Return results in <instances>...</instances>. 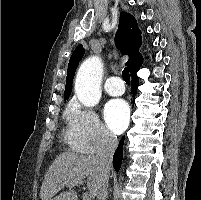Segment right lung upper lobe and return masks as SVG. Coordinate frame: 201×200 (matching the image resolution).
Returning <instances> with one entry per match:
<instances>
[{"instance_id":"cb5924a9","label":"right lung upper lobe","mask_w":201,"mask_h":200,"mask_svg":"<svg viewBox=\"0 0 201 200\" xmlns=\"http://www.w3.org/2000/svg\"><path fill=\"white\" fill-rule=\"evenodd\" d=\"M115 43L123 54L129 55L126 65L129 67L131 74L137 72L143 63V57L139 53V47L142 43L141 31L136 19L128 12H121L120 14ZM84 52L83 46L79 45L70 57L64 92L65 100L71 95L74 74L84 56Z\"/></svg>"}]
</instances>
